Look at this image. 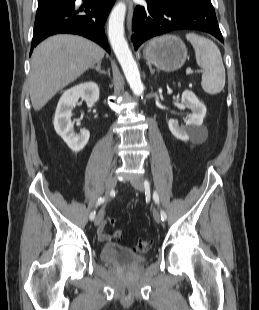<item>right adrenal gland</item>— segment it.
Segmentation results:
<instances>
[{"label":"right adrenal gland","mask_w":259,"mask_h":310,"mask_svg":"<svg viewBox=\"0 0 259 310\" xmlns=\"http://www.w3.org/2000/svg\"><path fill=\"white\" fill-rule=\"evenodd\" d=\"M91 69H95L98 73H103L101 70V62L97 63L96 67H92Z\"/></svg>","instance_id":"1"}]
</instances>
